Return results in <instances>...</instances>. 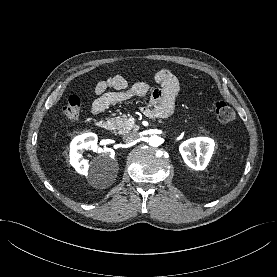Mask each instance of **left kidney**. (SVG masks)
<instances>
[{"label":"left kidney","instance_id":"1","mask_svg":"<svg viewBox=\"0 0 277 277\" xmlns=\"http://www.w3.org/2000/svg\"><path fill=\"white\" fill-rule=\"evenodd\" d=\"M214 141L207 137L191 138L184 141L179 151L184 162L192 169L204 170L214 151ZM196 151V156H195Z\"/></svg>","mask_w":277,"mask_h":277}]
</instances>
